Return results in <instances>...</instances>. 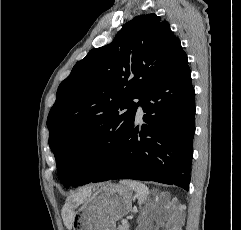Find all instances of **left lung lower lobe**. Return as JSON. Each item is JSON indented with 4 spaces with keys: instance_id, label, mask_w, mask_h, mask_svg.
Segmentation results:
<instances>
[{
    "instance_id": "obj_1",
    "label": "left lung lower lobe",
    "mask_w": 241,
    "mask_h": 230,
    "mask_svg": "<svg viewBox=\"0 0 241 230\" xmlns=\"http://www.w3.org/2000/svg\"><path fill=\"white\" fill-rule=\"evenodd\" d=\"M138 105L146 113L140 130L134 127L133 121L114 143L99 141L93 145L75 163L70 180L72 185L134 179L189 190L195 91L185 52L148 89Z\"/></svg>"
}]
</instances>
